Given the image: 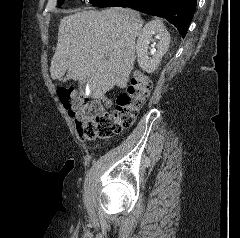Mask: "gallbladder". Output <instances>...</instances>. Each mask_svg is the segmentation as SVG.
<instances>
[{
    "label": "gallbladder",
    "mask_w": 240,
    "mask_h": 238,
    "mask_svg": "<svg viewBox=\"0 0 240 238\" xmlns=\"http://www.w3.org/2000/svg\"><path fill=\"white\" fill-rule=\"evenodd\" d=\"M86 85H87V82L85 81V82H82V83H80V90L81 91H84L85 90V88H86Z\"/></svg>",
    "instance_id": "1"
}]
</instances>
